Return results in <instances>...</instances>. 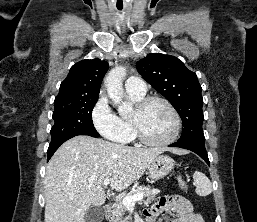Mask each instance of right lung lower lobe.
Returning a JSON list of instances; mask_svg holds the SVG:
<instances>
[{
    "instance_id": "right-lung-lower-lobe-1",
    "label": "right lung lower lobe",
    "mask_w": 257,
    "mask_h": 222,
    "mask_svg": "<svg viewBox=\"0 0 257 222\" xmlns=\"http://www.w3.org/2000/svg\"><path fill=\"white\" fill-rule=\"evenodd\" d=\"M72 138V137H71ZM68 139L70 138H67V139H64L62 141H59L57 143H54V144H50L49 145V148L47 150V161L52 157V155L54 154V152L58 149V147L64 143L65 141H67Z\"/></svg>"
}]
</instances>
